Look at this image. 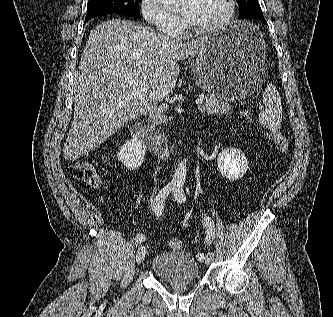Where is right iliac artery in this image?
Here are the masks:
<instances>
[{"label": "right iliac artery", "instance_id": "82829eb1", "mask_svg": "<svg viewBox=\"0 0 333 317\" xmlns=\"http://www.w3.org/2000/svg\"><path fill=\"white\" fill-rule=\"evenodd\" d=\"M175 189L174 184H168L162 190L157 194L156 198L154 199L152 208L155 212V215L157 217H161L163 215L164 210V201L165 198ZM146 239V236L144 234H138L136 236V242L142 243Z\"/></svg>", "mask_w": 333, "mask_h": 317}]
</instances>
